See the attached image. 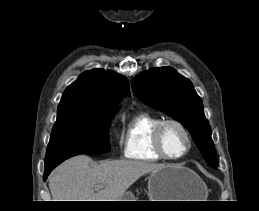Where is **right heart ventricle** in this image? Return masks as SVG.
Segmentation results:
<instances>
[{
  "instance_id": "e07e8e85",
  "label": "right heart ventricle",
  "mask_w": 259,
  "mask_h": 211,
  "mask_svg": "<svg viewBox=\"0 0 259 211\" xmlns=\"http://www.w3.org/2000/svg\"><path fill=\"white\" fill-rule=\"evenodd\" d=\"M162 118L148 111L134 113L122 131L123 153L126 158L144 161L164 159L154 148L153 134Z\"/></svg>"
}]
</instances>
